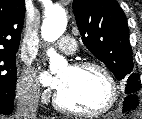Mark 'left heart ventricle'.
Listing matches in <instances>:
<instances>
[{"label":"left heart ventricle","mask_w":142,"mask_h":119,"mask_svg":"<svg viewBox=\"0 0 142 119\" xmlns=\"http://www.w3.org/2000/svg\"><path fill=\"white\" fill-rule=\"evenodd\" d=\"M61 102L80 111H93L105 105L109 97V85L102 73L95 69L77 71L66 67L60 71Z\"/></svg>","instance_id":"obj_1"}]
</instances>
